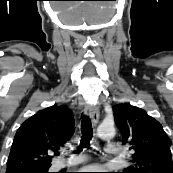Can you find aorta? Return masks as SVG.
<instances>
[{
  "label": "aorta",
  "instance_id": "aorta-1",
  "mask_svg": "<svg viewBox=\"0 0 173 173\" xmlns=\"http://www.w3.org/2000/svg\"><path fill=\"white\" fill-rule=\"evenodd\" d=\"M98 136L101 138H112L115 135V127L113 123L103 122L97 129Z\"/></svg>",
  "mask_w": 173,
  "mask_h": 173
}]
</instances>
